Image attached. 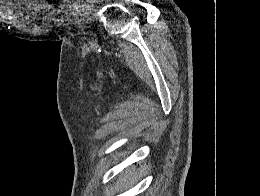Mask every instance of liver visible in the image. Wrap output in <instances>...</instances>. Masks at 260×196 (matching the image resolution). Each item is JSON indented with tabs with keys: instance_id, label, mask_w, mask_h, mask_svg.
I'll return each mask as SVG.
<instances>
[{
	"instance_id": "6515ba94",
	"label": "liver",
	"mask_w": 260,
	"mask_h": 196,
	"mask_svg": "<svg viewBox=\"0 0 260 196\" xmlns=\"http://www.w3.org/2000/svg\"><path fill=\"white\" fill-rule=\"evenodd\" d=\"M134 172H136L135 168H132V170H128L126 176H123V178H121V182H130V184H133L136 176L134 174Z\"/></svg>"
}]
</instances>
